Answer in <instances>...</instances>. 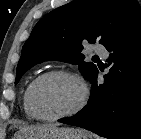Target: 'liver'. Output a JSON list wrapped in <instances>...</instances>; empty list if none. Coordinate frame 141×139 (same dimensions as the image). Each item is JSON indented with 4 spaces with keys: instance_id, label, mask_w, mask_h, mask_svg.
Returning <instances> with one entry per match:
<instances>
[{
    "instance_id": "obj_1",
    "label": "liver",
    "mask_w": 141,
    "mask_h": 139,
    "mask_svg": "<svg viewBox=\"0 0 141 139\" xmlns=\"http://www.w3.org/2000/svg\"><path fill=\"white\" fill-rule=\"evenodd\" d=\"M57 124H43V125H31V126H22L20 127V133H25L28 132L30 130H34L36 128H40V127H48V126H56Z\"/></svg>"
}]
</instances>
